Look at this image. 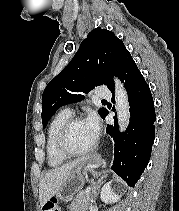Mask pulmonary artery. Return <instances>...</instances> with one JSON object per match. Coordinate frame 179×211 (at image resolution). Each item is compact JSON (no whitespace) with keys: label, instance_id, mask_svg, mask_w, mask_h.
<instances>
[{"label":"pulmonary artery","instance_id":"obj_1","mask_svg":"<svg viewBox=\"0 0 179 211\" xmlns=\"http://www.w3.org/2000/svg\"><path fill=\"white\" fill-rule=\"evenodd\" d=\"M95 94L98 98L101 99H110L112 97L111 91L105 86H99L95 90ZM67 112L72 113L70 108L65 109Z\"/></svg>","mask_w":179,"mask_h":211}]
</instances>
